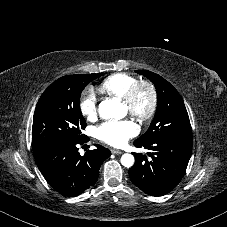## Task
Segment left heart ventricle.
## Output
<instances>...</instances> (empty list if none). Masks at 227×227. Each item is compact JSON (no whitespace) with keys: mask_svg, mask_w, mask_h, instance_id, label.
<instances>
[{"mask_svg":"<svg viewBox=\"0 0 227 227\" xmlns=\"http://www.w3.org/2000/svg\"><path fill=\"white\" fill-rule=\"evenodd\" d=\"M148 105H149V94L147 93V91L142 90L138 98V107L140 110L144 111L146 110ZM122 108L125 114H127L128 113L127 108L123 104H122Z\"/></svg>","mask_w":227,"mask_h":227,"instance_id":"obj_1","label":"left heart ventricle"}]
</instances>
